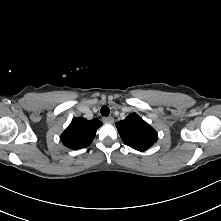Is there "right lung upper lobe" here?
<instances>
[{
	"instance_id": "1",
	"label": "right lung upper lobe",
	"mask_w": 221,
	"mask_h": 221,
	"mask_svg": "<svg viewBox=\"0 0 221 221\" xmlns=\"http://www.w3.org/2000/svg\"><path fill=\"white\" fill-rule=\"evenodd\" d=\"M102 125L98 119L74 118L61 134V141L70 149H81L91 144L97 129Z\"/></svg>"
}]
</instances>
